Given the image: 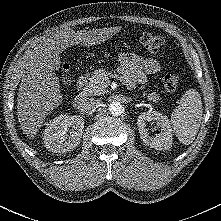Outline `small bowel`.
Returning <instances> with one entry per match:
<instances>
[{
  "instance_id": "small-bowel-1",
  "label": "small bowel",
  "mask_w": 221,
  "mask_h": 221,
  "mask_svg": "<svg viewBox=\"0 0 221 221\" xmlns=\"http://www.w3.org/2000/svg\"><path fill=\"white\" fill-rule=\"evenodd\" d=\"M120 72L128 88L144 84L148 74L161 71V63L154 58H143L134 53H123L119 56Z\"/></svg>"
}]
</instances>
